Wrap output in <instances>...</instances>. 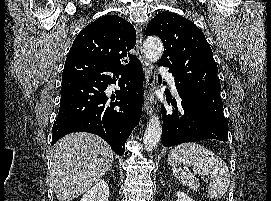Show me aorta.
<instances>
[{"mask_svg":"<svg viewBox=\"0 0 271 201\" xmlns=\"http://www.w3.org/2000/svg\"><path fill=\"white\" fill-rule=\"evenodd\" d=\"M163 51L162 41L158 37H148L143 43V52L149 63L157 62L162 57ZM161 131L159 117L154 114L149 119L143 137L144 147L147 151L153 150L158 145Z\"/></svg>","mask_w":271,"mask_h":201,"instance_id":"762f6f07","label":"aorta"}]
</instances>
